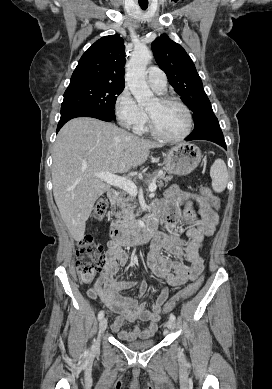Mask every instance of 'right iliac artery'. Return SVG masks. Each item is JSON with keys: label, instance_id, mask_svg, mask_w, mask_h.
Masks as SVG:
<instances>
[{"label": "right iliac artery", "instance_id": "1", "mask_svg": "<svg viewBox=\"0 0 272 389\" xmlns=\"http://www.w3.org/2000/svg\"><path fill=\"white\" fill-rule=\"evenodd\" d=\"M104 317V311H100L98 314V319L101 320Z\"/></svg>", "mask_w": 272, "mask_h": 389}]
</instances>
